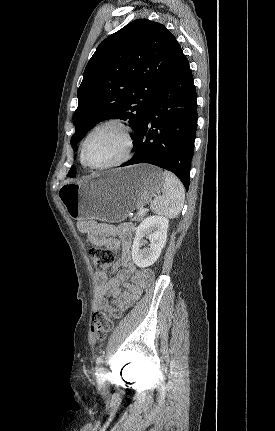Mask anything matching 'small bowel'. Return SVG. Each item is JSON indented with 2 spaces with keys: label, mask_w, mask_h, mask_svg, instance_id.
Returning a JSON list of instances; mask_svg holds the SVG:
<instances>
[{
  "label": "small bowel",
  "mask_w": 275,
  "mask_h": 431,
  "mask_svg": "<svg viewBox=\"0 0 275 431\" xmlns=\"http://www.w3.org/2000/svg\"><path fill=\"white\" fill-rule=\"evenodd\" d=\"M77 227L92 244L121 252L114 265L115 269L120 270L115 275L109 277L106 272L96 273L94 310H104L108 305V297L114 298L115 303L122 309L130 307L153 280L151 271L138 268L131 259L134 226L131 223L111 225L94 220H81Z\"/></svg>",
  "instance_id": "c3829d8e"
}]
</instances>
